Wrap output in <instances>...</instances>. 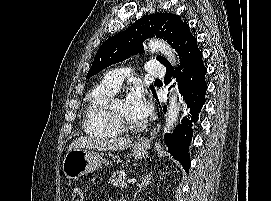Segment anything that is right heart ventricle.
Here are the masks:
<instances>
[{
  "label": "right heart ventricle",
  "instance_id": "right-heart-ventricle-1",
  "mask_svg": "<svg viewBox=\"0 0 271 201\" xmlns=\"http://www.w3.org/2000/svg\"><path fill=\"white\" fill-rule=\"evenodd\" d=\"M114 92L111 88L99 85L88 94L84 112V130L88 135L110 138L122 133L108 112V102Z\"/></svg>",
  "mask_w": 271,
  "mask_h": 201
}]
</instances>
